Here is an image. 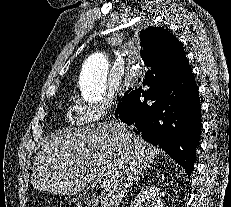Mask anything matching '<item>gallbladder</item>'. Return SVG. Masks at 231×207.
I'll return each instance as SVG.
<instances>
[{
    "instance_id": "obj_1",
    "label": "gallbladder",
    "mask_w": 231,
    "mask_h": 207,
    "mask_svg": "<svg viewBox=\"0 0 231 207\" xmlns=\"http://www.w3.org/2000/svg\"><path fill=\"white\" fill-rule=\"evenodd\" d=\"M79 198L82 199L87 205L93 207L98 204V199L92 193H82L79 194Z\"/></svg>"
}]
</instances>
